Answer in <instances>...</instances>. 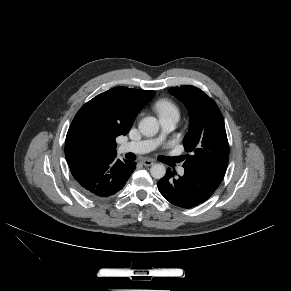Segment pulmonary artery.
I'll list each match as a JSON object with an SVG mask.
<instances>
[{
    "mask_svg": "<svg viewBox=\"0 0 291 291\" xmlns=\"http://www.w3.org/2000/svg\"><path fill=\"white\" fill-rule=\"evenodd\" d=\"M178 119H179L178 116H167L160 118L162 133L157 138L124 143L120 147L121 151L133 152L138 154L150 152L151 150L155 149L165 139L166 134H168L175 128ZM179 173L183 175L184 168L182 167L179 168Z\"/></svg>",
    "mask_w": 291,
    "mask_h": 291,
    "instance_id": "pulmonary-artery-1",
    "label": "pulmonary artery"
}]
</instances>
